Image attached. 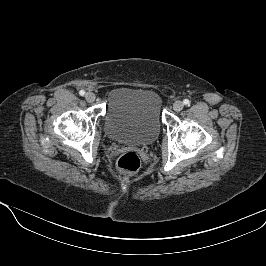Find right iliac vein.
<instances>
[{
	"mask_svg": "<svg viewBox=\"0 0 266 266\" xmlns=\"http://www.w3.org/2000/svg\"><path fill=\"white\" fill-rule=\"evenodd\" d=\"M95 98H96V96H95V94L92 93V92H88V93H86V95H85V99H86V101L89 102V103H92V102L95 100Z\"/></svg>",
	"mask_w": 266,
	"mask_h": 266,
	"instance_id": "1",
	"label": "right iliac vein"
}]
</instances>
